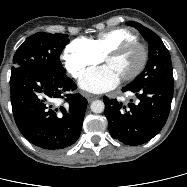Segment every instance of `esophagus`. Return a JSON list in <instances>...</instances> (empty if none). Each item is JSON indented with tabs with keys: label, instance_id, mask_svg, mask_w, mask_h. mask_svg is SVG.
<instances>
[{
	"label": "esophagus",
	"instance_id": "obj_1",
	"mask_svg": "<svg viewBox=\"0 0 187 187\" xmlns=\"http://www.w3.org/2000/svg\"><path fill=\"white\" fill-rule=\"evenodd\" d=\"M82 95L87 99L88 102H92L93 100L97 99L99 96L92 95L86 92H83Z\"/></svg>",
	"mask_w": 187,
	"mask_h": 187
}]
</instances>
